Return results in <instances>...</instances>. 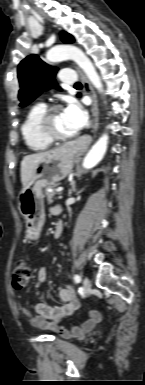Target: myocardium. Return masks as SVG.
<instances>
[{
	"label": "myocardium",
	"mask_w": 145,
	"mask_h": 385,
	"mask_svg": "<svg viewBox=\"0 0 145 385\" xmlns=\"http://www.w3.org/2000/svg\"><path fill=\"white\" fill-rule=\"evenodd\" d=\"M61 110V107L58 105L51 106L45 110L42 116L39 119L38 128L43 137H45L50 142H65L76 136V134L61 136L56 134L52 129V118L54 114Z\"/></svg>",
	"instance_id": "f54148a6"
}]
</instances>
